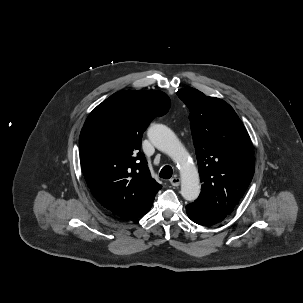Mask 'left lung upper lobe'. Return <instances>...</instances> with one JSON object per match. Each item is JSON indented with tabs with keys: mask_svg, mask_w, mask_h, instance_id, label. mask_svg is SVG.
Wrapping results in <instances>:
<instances>
[{
	"mask_svg": "<svg viewBox=\"0 0 303 303\" xmlns=\"http://www.w3.org/2000/svg\"><path fill=\"white\" fill-rule=\"evenodd\" d=\"M190 110V125L202 191L196 203L230 215L255 170L250 137L225 101L187 87L177 91Z\"/></svg>",
	"mask_w": 303,
	"mask_h": 303,
	"instance_id": "1",
	"label": "left lung upper lobe"
}]
</instances>
